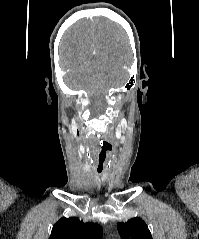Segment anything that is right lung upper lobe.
<instances>
[{
  "instance_id": "right-lung-upper-lobe-1",
  "label": "right lung upper lobe",
  "mask_w": 199,
  "mask_h": 239,
  "mask_svg": "<svg viewBox=\"0 0 199 239\" xmlns=\"http://www.w3.org/2000/svg\"><path fill=\"white\" fill-rule=\"evenodd\" d=\"M49 239H102V228L96 223H83L76 217H63L53 226Z\"/></svg>"
}]
</instances>
